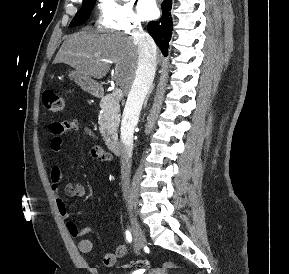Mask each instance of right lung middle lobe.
<instances>
[{
	"instance_id": "dd1d6c3e",
	"label": "right lung middle lobe",
	"mask_w": 289,
	"mask_h": 274,
	"mask_svg": "<svg viewBox=\"0 0 289 274\" xmlns=\"http://www.w3.org/2000/svg\"><path fill=\"white\" fill-rule=\"evenodd\" d=\"M95 1L96 0H84L81 9L74 16L73 20L71 21L70 27L79 25L88 19L89 15H90V13H91L94 5H95Z\"/></svg>"
}]
</instances>
